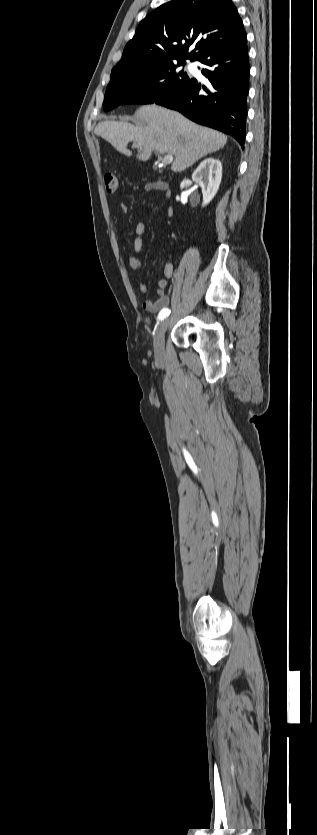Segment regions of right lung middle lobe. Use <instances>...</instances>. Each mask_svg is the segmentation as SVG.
Returning a JSON list of instances; mask_svg holds the SVG:
<instances>
[{
	"mask_svg": "<svg viewBox=\"0 0 317 835\" xmlns=\"http://www.w3.org/2000/svg\"><path fill=\"white\" fill-rule=\"evenodd\" d=\"M184 64H164L141 71H112L104 96V110L109 111L121 104L155 103L190 82L191 78L178 70V66Z\"/></svg>",
	"mask_w": 317,
	"mask_h": 835,
	"instance_id": "right-lung-middle-lobe-1",
	"label": "right lung middle lobe"
}]
</instances>
